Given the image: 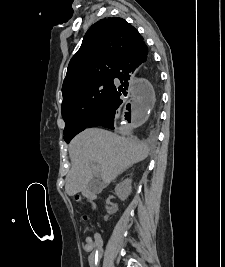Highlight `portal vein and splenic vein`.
<instances>
[{"label":"portal vein and splenic vein","mask_w":225,"mask_h":267,"mask_svg":"<svg viewBox=\"0 0 225 267\" xmlns=\"http://www.w3.org/2000/svg\"><path fill=\"white\" fill-rule=\"evenodd\" d=\"M91 165H92V169L94 171H98V167L96 166V164L94 162Z\"/></svg>","instance_id":"18ae733b"}]
</instances>
